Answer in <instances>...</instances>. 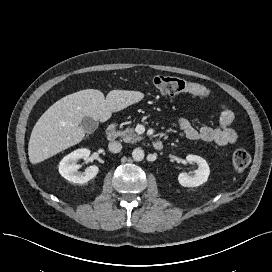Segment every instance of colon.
Here are the masks:
<instances>
[{
    "label": "colon",
    "instance_id": "colon-1",
    "mask_svg": "<svg viewBox=\"0 0 272 272\" xmlns=\"http://www.w3.org/2000/svg\"><path fill=\"white\" fill-rule=\"evenodd\" d=\"M151 85L164 95H177L180 93H189L200 97L210 96V91L196 83L187 82L181 78L158 75L155 76ZM251 161L250 154L244 149H237L232 156V163L237 171L246 169Z\"/></svg>",
    "mask_w": 272,
    "mask_h": 272
}]
</instances>
